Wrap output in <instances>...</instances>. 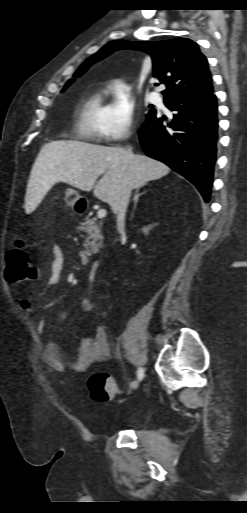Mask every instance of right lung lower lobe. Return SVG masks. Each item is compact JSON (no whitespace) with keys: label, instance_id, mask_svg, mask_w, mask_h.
Instances as JSON below:
<instances>
[{"label":"right lung lower lobe","instance_id":"1","mask_svg":"<svg viewBox=\"0 0 247 513\" xmlns=\"http://www.w3.org/2000/svg\"><path fill=\"white\" fill-rule=\"evenodd\" d=\"M165 105L174 112L173 118L166 123V117L149 112L138 131L141 146L148 156L191 181L208 202L218 141L216 96L213 92L202 97L168 98Z\"/></svg>","mask_w":247,"mask_h":513}]
</instances>
